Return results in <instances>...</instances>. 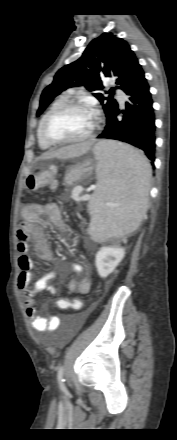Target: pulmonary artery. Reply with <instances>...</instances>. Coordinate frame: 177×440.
<instances>
[{
	"mask_svg": "<svg viewBox=\"0 0 177 440\" xmlns=\"http://www.w3.org/2000/svg\"><path fill=\"white\" fill-rule=\"evenodd\" d=\"M118 100H119V103H120L121 105L124 104L125 96H124V94H123L122 92H120V91H118Z\"/></svg>",
	"mask_w": 177,
	"mask_h": 440,
	"instance_id": "1",
	"label": "pulmonary artery"
}]
</instances>
